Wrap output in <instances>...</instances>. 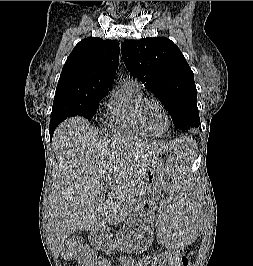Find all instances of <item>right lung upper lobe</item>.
<instances>
[{"label": "right lung upper lobe", "mask_w": 253, "mask_h": 266, "mask_svg": "<svg viewBox=\"0 0 253 266\" xmlns=\"http://www.w3.org/2000/svg\"><path fill=\"white\" fill-rule=\"evenodd\" d=\"M119 62V45L114 40L89 37L79 42L67 58L54 100L86 98L107 93Z\"/></svg>", "instance_id": "cb5924a9"}]
</instances>
